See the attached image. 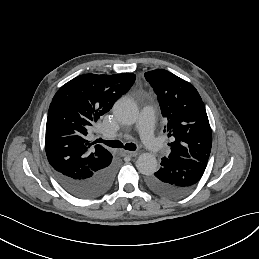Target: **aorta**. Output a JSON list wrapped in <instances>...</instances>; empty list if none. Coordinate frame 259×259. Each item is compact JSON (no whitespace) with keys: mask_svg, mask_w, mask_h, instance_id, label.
I'll return each instance as SVG.
<instances>
[{"mask_svg":"<svg viewBox=\"0 0 259 259\" xmlns=\"http://www.w3.org/2000/svg\"><path fill=\"white\" fill-rule=\"evenodd\" d=\"M113 113L122 124L132 125L138 118V107L132 99L123 97L114 104ZM136 167L140 173L152 175L158 167L156 157L151 153H142L136 161Z\"/></svg>","mask_w":259,"mask_h":259,"instance_id":"762f6f07","label":"aorta"}]
</instances>
